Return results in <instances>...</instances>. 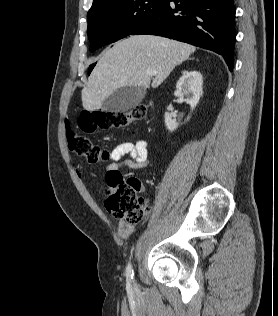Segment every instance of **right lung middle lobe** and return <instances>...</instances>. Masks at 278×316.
<instances>
[{"instance_id":"obj_1","label":"right lung middle lobe","mask_w":278,"mask_h":316,"mask_svg":"<svg viewBox=\"0 0 278 316\" xmlns=\"http://www.w3.org/2000/svg\"><path fill=\"white\" fill-rule=\"evenodd\" d=\"M163 2L164 0H108L91 7L87 14L91 51L131 35L157 12Z\"/></svg>"}]
</instances>
